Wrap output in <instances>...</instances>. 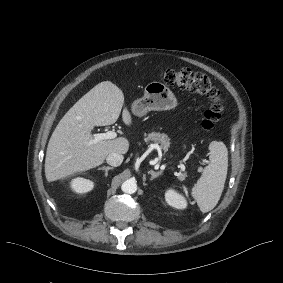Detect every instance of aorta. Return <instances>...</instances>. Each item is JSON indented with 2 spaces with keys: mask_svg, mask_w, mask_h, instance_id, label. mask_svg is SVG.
Returning a JSON list of instances; mask_svg holds the SVG:
<instances>
[{
  "mask_svg": "<svg viewBox=\"0 0 283 283\" xmlns=\"http://www.w3.org/2000/svg\"><path fill=\"white\" fill-rule=\"evenodd\" d=\"M121 189L124 193L133 194L137 191L136 181L133 179H128L122 183Z\"/></svg>",
  "mask_w": 283,
  "mask_h": 283,
  "instance_id": "762f6f07",
  "label": "aorta"
}]
</instances>
